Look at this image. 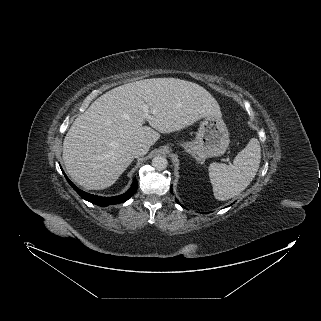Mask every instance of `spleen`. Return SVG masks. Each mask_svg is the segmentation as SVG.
<instances>
[{"instance_id":"3e777b00","label":"spleen","mask_w":321,"mask_h":321,"mask_svg":"<svg viewBox=\"0 0 321 321\" xmlns=\"http://www.w3.org/2000/svg\"><path fill=\"white\" fill-rule=\"evenodd\" d=\"M261 161L258 139L252 138L235 157L232 165L213 162L209 166V178L214 197L224 201L240 194L254 179Z\"/></svg>"}]
</instances>
